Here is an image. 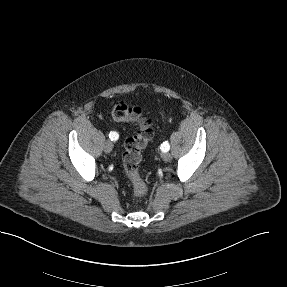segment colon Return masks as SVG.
<instances>
[{
    "label": "colon",
    "mask_w": 287,
    "mask_h": 287,
    "mask_svg": "<svg viewBox=\"0 0 287 287\" xmlns=\"http://www.w3.org/2000/svg\"><path fill=\"white\" fill-rule=\"evenodd\" d=\"M111 115L116 121L132 122L138 125L137 132L125 141L122 159L133 194L136 197H142L148 188L140 175L139 166L142 160V151L153 136L152 120L143 113L140 107L129 105L123 101L117 102L113 106Z\"/></svg>",
    "instance_id": "obj_1"
}]
</instances>
